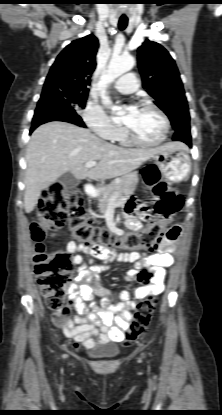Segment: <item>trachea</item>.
<instances>
[{
  "label": "trachea",
  "instance_id": "1",
  "mask_svg": "<svg viewBox=\"0 0 222 415\" xmlns=\"http://www.w3.org/2000/svg\"><path fill=\"white\" fill-rule=\"evenodd\" d=\"M128 20L120 19L118 23V27L120 30H124L127 27Z\"/></svg>",
  "mask_w": 222,
  "mask_h": 415
}]
</instances>
